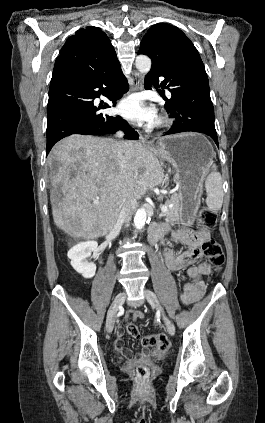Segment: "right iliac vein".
I'll return each mask as SVG.
<instances>
[{
  "instance_id": "right-iliac-vein-1",
  "label": "right iliac vein",
  "mask_w": 265,
  "mask_h": 423,
  "mask_svg": "<svg viewBox=\"0 0 265 423\" xmlns=\"http://www.w3.org/2000/svg\"><path fill=\"white\" fill-rule=\"evenodd\" d=\"M125 298H126V294L124 292L119 293L109 308L107 319H106V329L108 333H111L113 330L116 313L119 310V308L122 306V304L124 303Z\"/></svg>"
}]
</instances>
